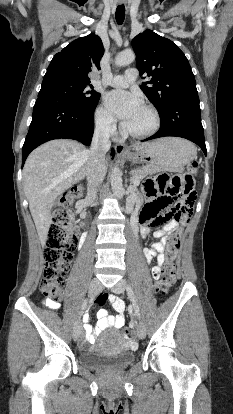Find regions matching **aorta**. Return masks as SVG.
<instances>
[{"label":"aorta","mask_w":233,"mask_h":414,"mask_svg":"<svg viewBox=\"0 0 233 414\" xmlns=\"http://www.w3.org/2000/svg\"><path fill=\"white\" fill-rule=\"evenodd\" d=\"M134 60L135 53L131 50H127L116 56L115 64L118 67H122L131 64ZM110 181L113 194L119 199L123 198L124 188L122 183V173L118 167L112 169Z\"/></svg>","instance_id":"obj_1"}]
</instances>
